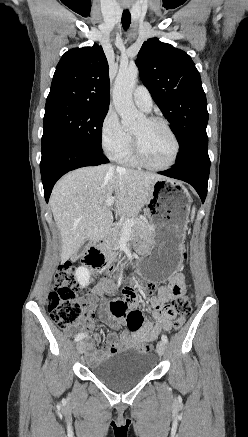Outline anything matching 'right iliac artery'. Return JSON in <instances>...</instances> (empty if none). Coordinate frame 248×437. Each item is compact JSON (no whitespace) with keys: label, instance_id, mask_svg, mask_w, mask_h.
Wrapping results in <instances>:
<instances>
[{"label":"right iliac artery","instance_id":"1","mask_svg":"<svg viewBox=\"0 0 248 437\" xmlns=\"http://www.w3.org/2000/svg\"><path fill=\"white\" fill-rule=\"evenodd\" d=\"M85 337H87L86 334H84V333H80V334L76 335V337H75V342H78V341L82 340V339L85 338Z\"/></svg>","mask_w":248,"mask_h":437}]
</instances>
